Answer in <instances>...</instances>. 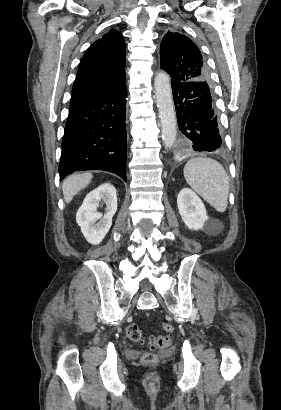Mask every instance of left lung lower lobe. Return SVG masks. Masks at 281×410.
<instances>
[{
  "instance_id": "1",
  "label": "left lung lower lobe",
  "mask_w": 281,
  "mask_h": 410,
  "mask_svg": "<svg viewBox=\"0 0 281 410\" xmlns=\"http://www.w3.org/2000/svg\"><path fill=\"white\" fill-rule=\"evenodd\" d=\"M179 129L195 151H215L222 139L208 82H171Z\"/></svg>"
}]
</instances>
